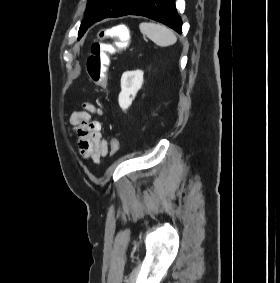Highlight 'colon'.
<instances>
[{"label": "colon", "instance_id": "obj_1", "mask_svg": "<svg viewBox=\"0 0 280 283\" xmlns=\"http://www.w3.org/2000/svg\"><path fill=\"white\" fill-rule=\"evenodd\" d=\"M132 30L130 25L111 26L101 29L99 39L94 41L90 48V54L86 61V68L91 80L100 88L104 89L107 86L108 70L110 66V56L108 47L102 40L104 38L113 39L115 47H122L123 51L127 50L123 42H128ZM119 150V142L116 141L113 145V152Z\"/></svg>", "mask_w": 280, "mask_h": 283}]
</instances>
